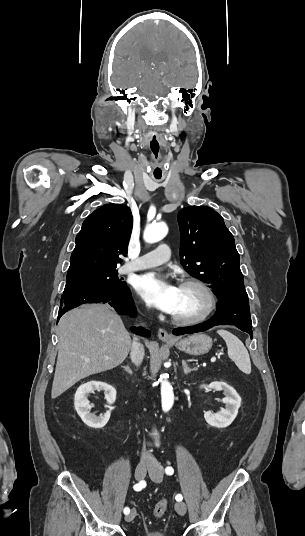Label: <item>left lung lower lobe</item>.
Instances as JSON below:
<instances>
[{
  "instance_id": "1",
  "label": "left lung lower lobe",
  "mask_w": 305,
  "mask_h": 536,
  "mask_svg": "<svg viewBox=\"0 0 305 536\" xmlns=\"http://www.w3.org/2000/svg\"><path fill=\"white\" fill-rule=\"evenodd\" d=\"M216 325H234L252 338V322L248 298H228L217 303L215 315L207 322L173 330L174 335L192 334L208 330Z\"/></svg>"
}]
</instances>
